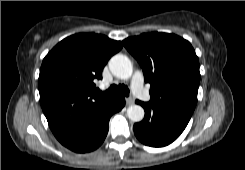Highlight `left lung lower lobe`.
Wrapping results in <instances>:
<instances>
[{"label":"left lung lower lobe","mask_w":245,"mask_h":170,"mask_svg":"<svg viewBox=\"0 0 245 170\" xmlns=\"http://www.w3.org/2000/svg\"><path fill=\"white\" fill-rule=\"evenodd\" d=\"M143 106V121L134 124L136 137L145 145L163 147L176 140L187 126L191 115L162 108L151 102L136 101Z\"/></svg>","instance_id":"obj_1"}]
</instances>
